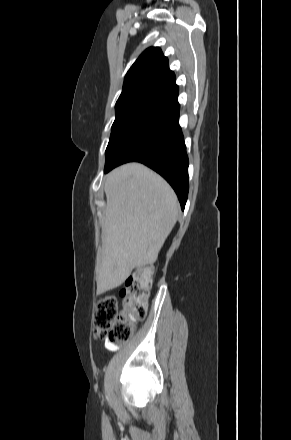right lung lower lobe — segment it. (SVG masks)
<instances>
[{
	"label": "right lung lower lobe",
	"mask_w": 291,
	"mask_h": 440,
	"mask_svg": "<svg viewBox=\"0 0 291 440\" xmlns=\"http://www.w3.org/2000/svg\"><path fill=\"white\" fill-rule=\"evenodd\" d=\"M179 88L173 86L153 100L140 122L113 156L105 173L127 162H141L163 176L185 207L188 157L179 126Z\"/></svg>",
	"instance_id": "right-lung-lower-lobe-1"
}]
</instances>
